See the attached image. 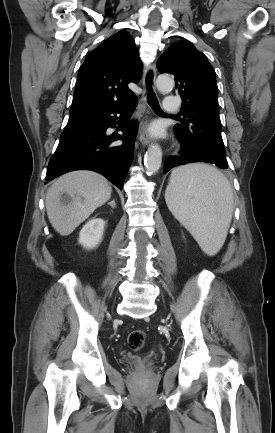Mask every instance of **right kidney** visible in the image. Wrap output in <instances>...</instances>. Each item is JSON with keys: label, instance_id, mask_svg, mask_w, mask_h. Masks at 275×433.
Returning a JSON list of instances; mask_svg holds the SVG:
<instances>
[{"label": "right kidney", "instance_id": "obj_1", "mask_svg": "<svg viewBox=\"0 0 275 433\" xmlns=\"http://www.w3.org/2000/svg\"><path fill=\"white\" fill-rule=\"evenodd\" d=\"M105 221L101 218H92L81 229L79 243L87 248L93 249L102 240Z\"/></svg>", "mask_w": 275, "mask_h": 433}]
</instances>
